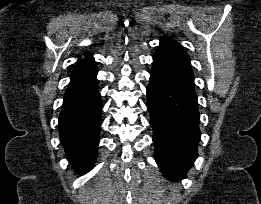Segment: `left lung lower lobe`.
<instances>
[{"label": "left lung lower lobe", "instance_id": "left-lung-lower-lobe-1", "mask_svg": "<svg viewBox=\"0 0 261 204\" xmlns=\"http://www.w3.org/2000/svg\"><path fill=\"white\" fill-rule=\"evenodd\" d=\"M155 160L164 176L181 180L198 157L199 110L190 58L183 47L162 38L147 88Z\"/></svg>", "mask_w": 261, "mask_h": 204}]
</instances>
